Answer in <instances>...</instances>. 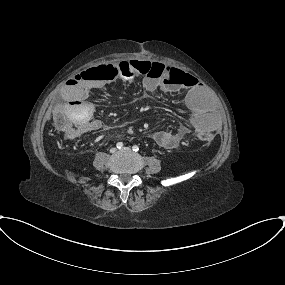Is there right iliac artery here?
Masks as SVG:
<instances>
[{
  "mask_svg": "<svg viewBox=\"0 0 285 285\" xmlns=\"http://www.w3.org/2000/svg\"><path fill=\"white\" fill-rule=\"evenodd\" d=\"M123 143L122 142H118L117 144H116V147L118 148V149H121V148H123Z\"/></svg>",
  "mask_w": 285,
  "mask_h": 285,
  "instance_id": "82829eb1",
  "label": "right iliac artery"
}]
</instances>
